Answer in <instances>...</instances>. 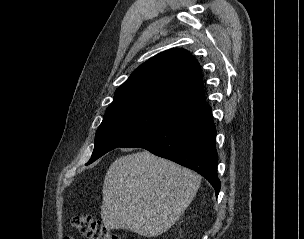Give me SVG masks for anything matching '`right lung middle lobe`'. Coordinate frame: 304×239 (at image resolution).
<instances>
[{"mask_svg":"<svg viewBox=\"0 0 304 239\" xmlns=\"http://www.w3.org/2000/svg\"><path fill=\"white\" fill-rule=\"evenodd\" d=\"M168 120L165 116L145 110H120L106 113L96 132L95 147L88 164Z\"/></svg>","mask_w":304,"mask_h":239,"instance_id":"dd1d6c3e","label":"right lung middle lobe"}]
</instances>
